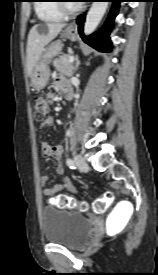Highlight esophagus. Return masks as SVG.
<instances>
[{
	"mask_svg": "<svg viewBox=\"0 0 158 275\" xmlns=\"http://www.w3.org/2000/svg\"><path fill=\"white\" fill-rule=\"evenodd\" d=\"M68 28L72 31H77V24L75 21H73L69 26Z\"/></svg>",
	"mask_w": 158,
	"mask_h": 275,
	"instance_id": "1",
	"label": "esophagus"
}]
</instances>
